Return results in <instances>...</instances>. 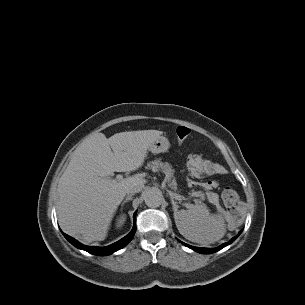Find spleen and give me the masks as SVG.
I'll return each instance as SVG.
<instances>
[{
    "label": "spleen",
    "mask_w": 305,
    "mask_h": 305,
    "mask_svg": "<svg viewBox=\"0 0 305 305\" xmlns=\"http://www.w3.org/2000/svg\"><path fill=\"white\" fill-rule=\"evenodd\" d=\"M187 210H178L174 219L180 234L187 240L199 244H211L220 240L226 231L222 210L210 214L207 207L189 204Z\"/></svg>",
    "instance_id": "spleen-1"
}]
</instances>
